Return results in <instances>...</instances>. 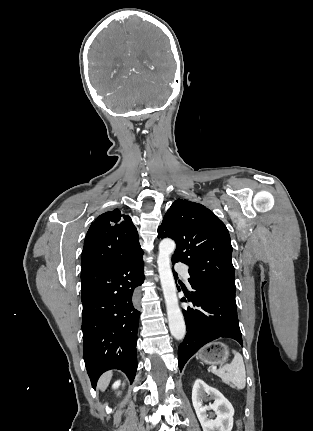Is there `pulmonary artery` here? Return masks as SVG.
Segmentation results:
<instances>
[{
  "instance_id": "pulmonary-artery-1",
  "label": "pulmonary artery",
  "mask_w": 313,
  "mask_h": 431,
  "mask_svg": "<svg viewBox=\"0 0 313 431\" xmlns=\"http://www.w3.org/2000/svg\"><path fill=\"white\" fill-rule=\"evenodd\" d=\"M175 270L180 273L185 279V281L189 284L190 275L187 266L183 263H177L175 265Z\"/></svg>"
}]
</instances>
